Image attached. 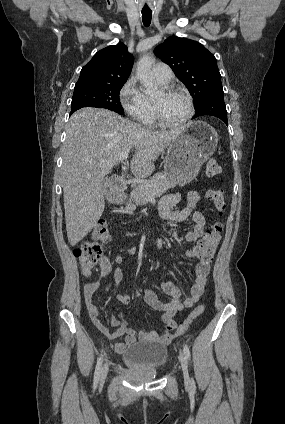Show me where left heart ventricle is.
Instances as JSON below:
<instances>
[{"label":"left heart ventricle","instance_id":"1","mask_svg":"<svg viewBox=\"0 0 285 424\" xmlns=\"http://www.w3.org/2000/svg\"><path fill=\"white\" fill-rule=\"evenodd\" d=\"M154 101L159 104L163 117L171 123L181 122L189 112L188 102L181 95L166 96L161 92Z\"/></svg>","mask_w":285,"mask_h":424}]
</instances>
